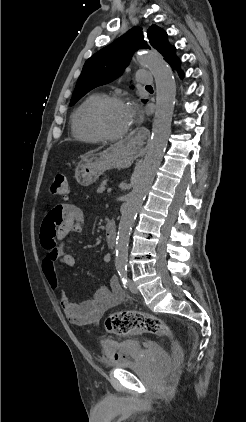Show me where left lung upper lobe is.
<instances>
[{
    "label": "left lung upper lobe",
    "instance_id": "obj_1",
    "mask_svg": "<svg viewBox=\"0 0 246 422\" xmlns=\"http://www.w3.org/2000/svg\"><path fill=\"white\" fill-rule=\"evenodd\" d=\"M167 37V33L156 25H152L148 30L134 27L112 44L95 53L86 61L82 69L70 106L93 88L119 77L128 66L133 53L138 49L154 48L167 61L176 51L175 47L169 44Z\"/></svg>",
    "mask_w": 246,
    "mask_h": 422
}]
</instances>
